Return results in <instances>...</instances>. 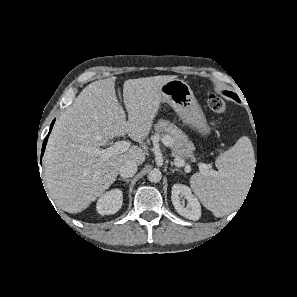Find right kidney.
Wrapping results in <instances>:
<instances>
[{
  "label": "right kidney",
  "mask_w": 297,
  "mask_h": 297,
  "mask_svg": "<svg viewBox=\"0 0 297 297\" xmlns=\"http://www.w3.org/2000/svg\"><path fill=\"white\" fill-rule=\"evenodd\" d=\"M123 194L120 189L105 192L97 201L96 210L101 215H110L119 211L122 206Z\"/></svg>",
  "instance_id": "obj_1"
}]
</instances>
